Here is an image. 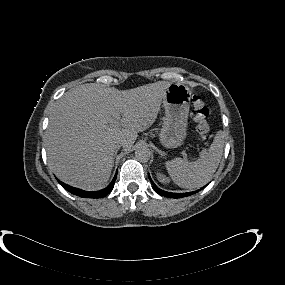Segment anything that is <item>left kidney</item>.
<instances>
[{
    "instance_id": "left-kidney-1",
    "label": "left kidney",
    "mask_w": 285,
    "mask_h": 285,
    "mask_svg": "<svg viewBox=\"0 0 285 285\" xmlns=\"http://www.w3.org/2000/svg\"><path fill=\"white\" fill-rule=\"evenodd\" d=\"M157 179L163 183V184H168L169 183V179L168 177H166L164 174L157 172L156 173Z\"/></svg>"
}]
</instances>
